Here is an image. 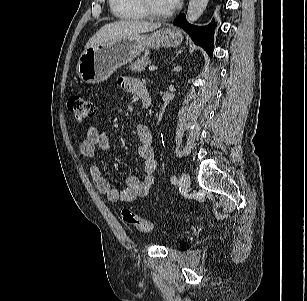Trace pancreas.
Segmentation results:
<instances>
[{
  "mask_svg": "<svg viewBox=\"0 0 307 301\" xmlns=\"http://www.w3.org/2000/svg\"><path fill=\"white\" fill-rule=\"evenodd\" d=\"M149 58L145 55L142 56L140 59H137L135 62L131 63L128 68L131 71H137V72H142L145 70V67L150 64Z\"/></svg>",
  "mask_w": 307,
  "mask_h": 301,
  "instance_id": "cf45deb5",
  "label": "pancreas"
}]
</instances>
